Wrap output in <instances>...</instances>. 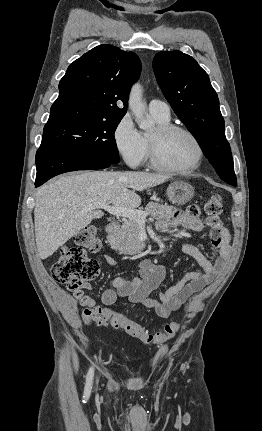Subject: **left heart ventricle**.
Wrapping results in <instances>:
<instances>
[{"instance_id": "obj_1", "label": "left heart ventricle", "mask_w": 262, "mask_h": 431, "mask_svg": "<svg viewBox=\"0 0 262 431\" xmlns=\"http://www.w3.org/2000/svg\"><path fill=\"white\" fill-rule=\"evenodd\" d=\"M154 130L149 137L155 138ZM158 151L161 161L170 167L189 169L197 157L194 142L184 133L169 134L158 141Z\"/></svg>"}]
</instances>
